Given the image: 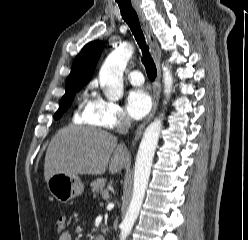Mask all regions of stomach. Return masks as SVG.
<instances>
[{
    "label": "stomach",
    "mask_w": 248,
    "mask_h": 240,
    "mask_svg": "<svg viewBox=\"0 0 248 240\" xmlns=\"http://www.w3.org/2000/svg\"><path fill=\"white\" fill-rule=\"evenodd\" d=\"M47 187L51 195L61 203H67L84 191V184L78 176L65 173L52 175L47 181Z\"/></svg>",
    "instance_id": "obj_1"
}]
</instances>
